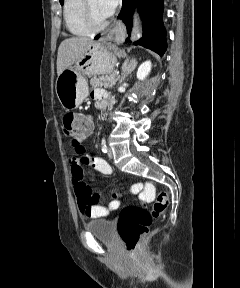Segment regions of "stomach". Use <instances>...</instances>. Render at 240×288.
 I'll use <instances>...</instances> for the list:
<instances>
[{"label":"stomach","mask_w":240,"mask_h":288,"mask_svg":"<svg viewBox=\"0 0 240 288\" xmlns=\"http://www.w3.org/2000/svg\"><path fill=\"white\" fill-rule=\"evenodd\" d=\"M116 56L104 41L94 42L73 66L64 70L57 78L55 90L66 110L77 108L89 94L85 76L111 74Z\"/></svg>","instance_id":"0dacf381"}]
</instances>
